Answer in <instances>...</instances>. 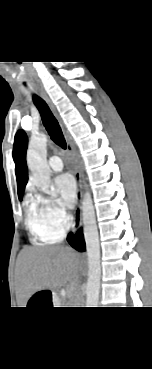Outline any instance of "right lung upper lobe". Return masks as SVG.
I'll list each match as a JSON object with an SVG mask.
<instances>
[{"label":"right lung upper lobe","instance_id":"right-lung-upper-lobe-1","mask_svg":"<svg viewBox=\"0 0 152 369\" xmlns=\"http://www.w3.org/2000/svg\"><path fill=\"white\" fill-rule=\"evenodd\" d=\"M28 138L23 130H19L15 135L13 159L15 162V173L17 179L18 196L23 197L25 185L28 181L27 165L25 160Z\"/></svg>","mask_w":152,"mask_h":369}]
</instances>
